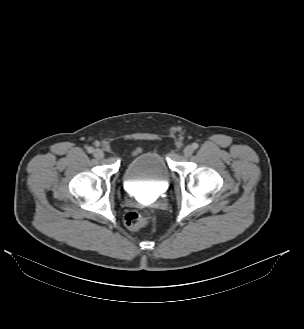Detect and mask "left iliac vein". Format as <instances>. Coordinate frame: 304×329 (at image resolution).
Returning <instances> with one entry per match:
<instances>
[{"label":"left iliac vein","mask_w":304,"mask_h":329,"mask_svg":"<svg viewBox=\"0 0 304 329\" xmlns=\"http://www.w3.org/2000/svg\"><path fill=\"white\" fill-rule=\"evenodd\" d=\"M193 152H194V149L190 145L186 146L185 149H184V155L186 157H190L193 154Z\"/></svg>","instance_id":"1"}]
</instances>
